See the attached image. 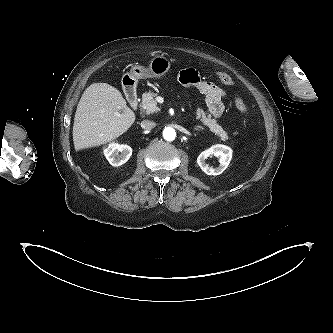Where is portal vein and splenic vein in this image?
Listing matches in <instances>:
<instances>
[{
    "label": "portal vein and splenic vein",
    "mask_w": 333,
    "mask_h": 333,
    "mask_svg": "<svg viewBox=\"0 0 333 333\" xmlns=\"http://www.w3.org/2000/svg\"><path fill=\"white\" fill-rule=\"evenodd\" d=\"M161 101H163V99H162V98H159V102H161Z\"/></svg>",
    "instance_id": "portal-vein-and-splenic-vein-1"
}]
</instances>
